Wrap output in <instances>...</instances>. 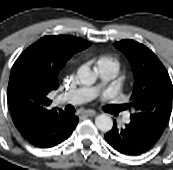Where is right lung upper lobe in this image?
Masks as SVG:
<instances>
[{"mask_svg": "<svg viewBox=\"0 0 173 170\" xmlns=\"http://www.w3.org/2000/svg\"><path fill=\"white\" fill-rule=\"evenodd\" d=\"M89 46L88 41L73 36H45L22 52L11 69L7 90L17 128L62 112L50 107L48 94L58 88V75L69 58Z\"/></svg>", "mask_w": 173, "mask_h": 170, "instance_id": "1", "label": "right lung upper lobe"}]
</instances>
